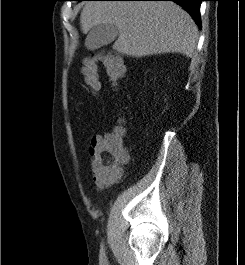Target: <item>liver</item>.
I'll return each mask as SVG.
<instances>
[{
    "label": "liver",
    "instance_id": "6515ba94",
    "mask_svg": "<svg viewBox=\"0 0 245 265\" xmlns=\"http://www.w3.org/2000/svg\"><path fill=\"white\" fill-rule=\"evenodd\" d=\"M98 24H113L119 37L113 49L144 57L164 53H196L198 28L191 16L169 1H89L80 16L84 34ZM87 45V44H86Z\"/></svg>",
    "mask_w": 245,
    "mask_h": 265
}]
</instances>
